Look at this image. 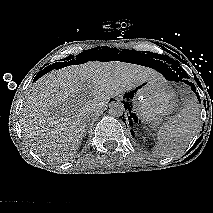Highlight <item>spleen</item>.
Here are the masks:
<instances>
[{"label":"spleen","mask_w":213,"mask_h":213,"mask_svg":"<svg viewBox=\"0 0 213 213\" xmlns=\"http://www.w3.org/2000/svg\"><path fill=\"white\" fill-rule=\"evenodd\" d=\"M200 109L195 96L191 97L179 112L164 123L158 132L157 149L166 155L187 147L201 123Z\"/></svg>","instance_id":"3e777b00"}]
</instances>
